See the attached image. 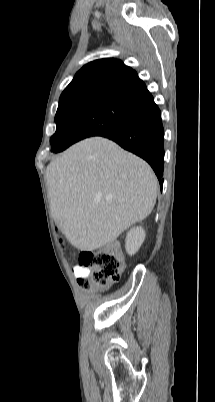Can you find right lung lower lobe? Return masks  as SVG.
<instances>
[{
	"label": "right lung lower lobe",
	"mask_w": 215,
	"mask_h": 402,
	"mask_svg": "<svg viewBox=\"0 0 215 402\" xmlns=\"http://www.w3.org/2000/svg\"><path fill=\"white\" fill-rule=\"evenodd\" d=\"M103 137L147 161L153 168L162 188L164 159V129L161 112L154 100L143 107L123 126Z\"/></svg>",
	"instance_id": "1"
}]
</instances>
